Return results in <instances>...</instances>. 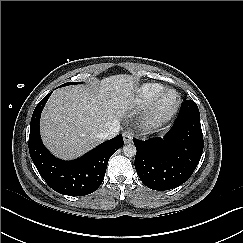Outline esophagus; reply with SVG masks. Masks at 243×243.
<instances>
[{
    "mask_svg": "<svg viewBox=\"0 0 243 243\" xmlns=\"http://www.w3.org/2000/svg\"><path fill=\"white\" fill-rule=\"evenodd\" d=\"M123 140L125 144L131 143L133 140V133L130 131L123 132Z\"/></svg>",
    "mask_w": 243,
    "mask_h": 243,
    "instance_id": "obj_1",
    "label": "esophagus"
}]
</instances>
